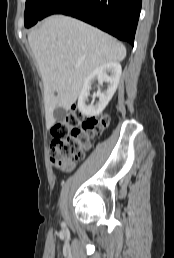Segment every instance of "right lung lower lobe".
Segmentation results:
<instances>
[{
  "label": "right lung lower lobe",
  "mask_w": 174,
  "mask_h": 258,
  "mask_svg": "<svg viewBox=\"0 0 174 258\" xmlns=\"http://www.w3.org/2000/svg\"><path fill=\"white\" fill-rule=\"evenodd\" d=\"M142 0H54L44 11L43 18L64 14L78 18L134 44Z\"/></svg>",
  "instance_id": "right-lung-lower-lobe-1"
}]
</instances>
